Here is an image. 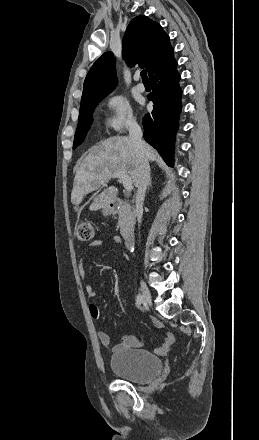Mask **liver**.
I'll return each instance as SVG.
<instances>
[{
    "label": "liver",
    "instance_id": "obj_1",
    "mask_svg": "<svg viewBox=\"0 0 259 440\" xmlns=\"http://www.w3.org/2000/svg\"><path fill=\"white\" fill-rule=\"evenodd\" d=\"M145 144L147 162L155 161L156 151ZM140 169V155L129 137L115 136L92 148L83 160L74 178L71 202L79 205L88 193L97 190L102 182L107 183L116 172H125L137 187ZM118 189L107 187L93 201L91 211L107 207L116 199Z\"/></svg>",
    "mask_w": 259,
    "mask_h": 440
}]
</instances>
